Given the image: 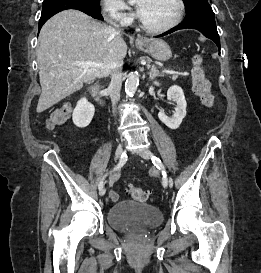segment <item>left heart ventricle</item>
<instances>
[{"instance_id": "b2bd125f", "label": "left heart ventricle", "mask_w": 261, "mask_h": 273, "mask_svg": "<svg viewBox=\"0 0 261 273\" xmlns=\"http://www.w3.org/2000/svg\"><path fill=\"white\" fill-rule=\"evenodd\" d=\"M136 6L141 19L152 27L170 23L177 14L175 0H137Z\"/></svg>"}]
</instances>
